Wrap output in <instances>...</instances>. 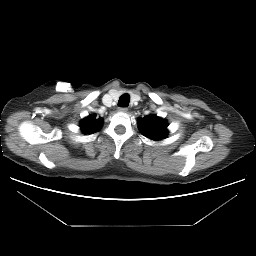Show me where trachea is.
Here are the masks:
<instances>
[{"instance_id": "trachea-1", "label": "trachea", "mask_w": 256, "mask_h": 256, "mask_svg": "<svg viewBox=\"0 0 256 256\" xmlns=\"http://www.w3.org/2000/svg\"><path fill=\"white\" fill-rule=\"evenodd\" d=\"M130 102V96L128 94H123L120 96L118 100V106L120 107H127Z\"/></svg>"}]
</instances>
